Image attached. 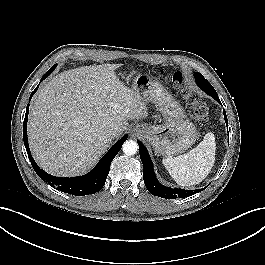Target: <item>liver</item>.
<instances>
[{
  "instance_id": "1",
  "label": "liver",
  "mask_w": 265,
  "mask_h": 265,
  "mask_svg": "<svg viewBox=\"0 0 265 265\" xmlns=\"http://www.w3.org/2000/svg\"><path fill=\"white\" fill-rule=\"evenodd\" d=\"M121 65L64 71L39 89L28 117V140L43 170L59 177L87 172L128 120L148 116L140 95L116 76ZM110 128L116 131L113 138L107 136Z\"/></svg>"
}]
</instances>
